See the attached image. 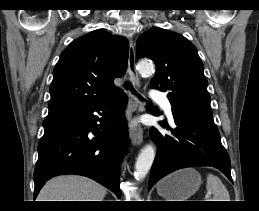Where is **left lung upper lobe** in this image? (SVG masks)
Instances as JSON below:
<instances>
[{"label":"left lung upper lobe","instance_id":"1","mask_svg":"<svg viewBox=\"0 0 259 211\" xmlns=\"http://www.w3.org/2000/svg\"><path fill=\"white\" fill-rule=\"evenodd\" d=\"M137 55L154 61L150 86L167 92L172 106L212 115L204 66L190 41L169 30L152 29L138 38Z\"/></svg>","mask_w":259,"mask_h":211}]
</instances>
